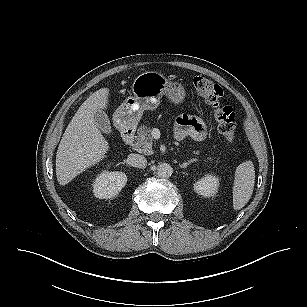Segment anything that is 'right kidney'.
I'll return each mask as SVG.
<instances>
[{"label": "right kidney", "mask_w": 307, "mask_h": 307, "mask_svg": "<svg viewBox=\"0 0 307 307\" xmlns=\"http://www.w3.org/2000/svg\"><path fill=\"white\" fill-rule=\"evenodd\" d=\"M127 183V176L123 172L103 171L93 182V193L99 199L116 196Z\"/></svg>", "instance_id": "obj_1"}]
</instances>
